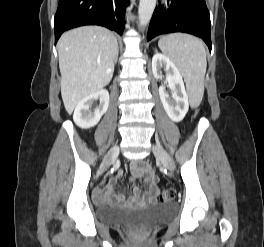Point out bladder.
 Returning <instances> with one entry per match:
<instances>
[{"label": "bladder", "mask_w": 264, "mask_h": 247, "mask_svg": "<svg viewBox=\"0 0 264 247\" xmlns=\"http://www.w3.org/2000/svg\"><path fill=\"white\" fill-rule=\"evenodd\" d=\"M173 210L167 205L155 204L142 208L104 206L97 208V220L119 227H147L169 220Z\"/></svg>", "instance_id": "1"}]
</instances>
